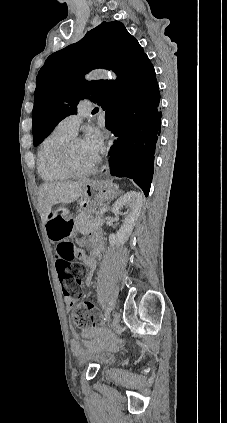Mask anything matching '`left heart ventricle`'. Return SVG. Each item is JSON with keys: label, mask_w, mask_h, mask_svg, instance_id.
<instances>
[{"label": "left heart ventricle", "mask_w": 227, "mask_h": 423, "mask_svg": "<svg viewBox=\"0 0 227 423\" xmlns=\"http://www.w3.org/2000/svg\"><path fill=\"white\" fill-rule=\"evenodd\" d=\"M71 164L76 171H83L94 165L84 142H78L73 146Z\"/></svg>", "instance_id": "left-heart-ventricle-1"}]
</instances>
